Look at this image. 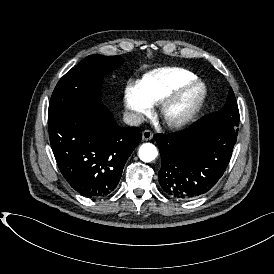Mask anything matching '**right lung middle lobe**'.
<instances>
[{
    "mask_svg": "<svg viewBox=\"0 0 274 274\" xmlns=\"http://www.w3.org/2000/svg\"><path fill=\"white\" fill-rule=\"evenodd\" d=\"M123 62L121 56H87L57 83L49 103L48 119L72 108L101 103L103 75Z\"/></svg>",
    "mask_w": 274,
    "mask_h": 274,
    "instance_id": "dd1d6c3e",
    "label": "right lung middle lobe"
}]
</instances>
